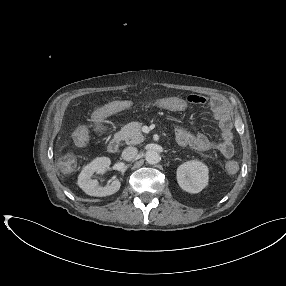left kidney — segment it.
Returning <instances> with one entry per match:
<instances>
[{
	"label": "left kidney",
	"mask_w": 286,
	"mask_h": 286,
	"mask_svg": "<svg viewBox=\"0 0 286 286\" xmlns=\"http://www.w3.org/2000/svg\"><path fill=\"white\" fill-rule=\"evenodd\" d=\"M208 167L197 160L187 161L177 169L179 186L189 193H199L208 184Z\"/></svg>",
	"instance_id": "1"
}]
</instances>
